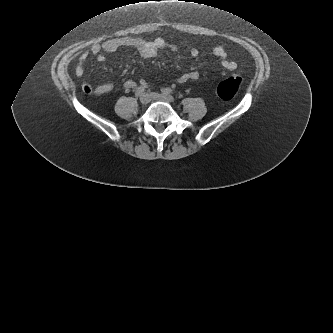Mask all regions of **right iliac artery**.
<instances>
[{"label":"right iliac artery","instance_id":"82829eb1","mask_svg":"<svg viewBox=\"0 0 333 333\" xmlns=\"http://www.w3.org/2000/svg\"><path fill=\"white\" fill-rule=\"evenodd\" d=\"M144 91H145V87L140 86V87L137 88L135 94H136L137 96H141V94H143Z\"/></svg>","mask_w":333,"mask_h":333}]
</instances>
